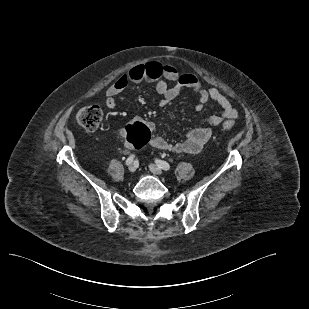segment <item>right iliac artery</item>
Segmentation results:
<instances>
[{"label":"right iliac artery","mask_w":309,"mask_h":309,"mask_svg":"<svg viewBox=\"0 0 309 309\" xmlns=\"http://www.w3.org/2000/svg\"><path fill=\"white\" fill-rule=\"evenodd\" d=\"M134 158H135L134 155H130L126 160V165L127 166L131 165V163L134 161Z\"/></svg>","instance_id":"obj_1"}]
</instances>
